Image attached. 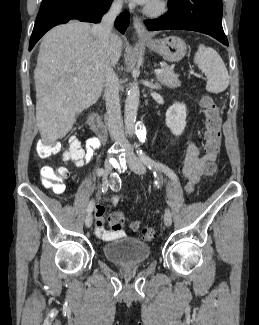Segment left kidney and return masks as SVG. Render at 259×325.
<instances>
[{
  "instance_id": "1",
  "label": "left kidney",
  "mask_w": 259,
  "mask_h": 325,
  "mask_svg": "<svg viewBox=\"0 0 259 325\" xmlns=\"http://www.w3.org/2000/svg\"><path fill=\"white\" fill-rule=\"evenodd\" d=\"M186 106L183 103H174L166 112V125L172 134L179 136L186 127Z\"/></svg>"
}]
</instances>
